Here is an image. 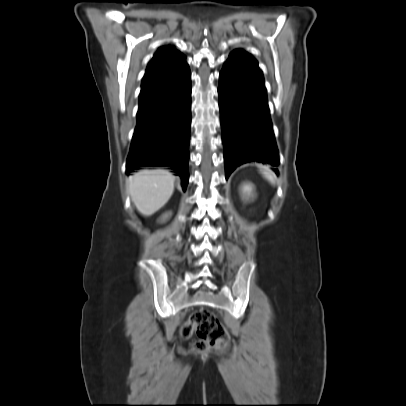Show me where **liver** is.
Listing matches in <instances>:
<instances>
[{"mask_svg": "<svg viewBox=\"0 0 406 406\" xmlns=\"http://www.w3.org/2000/svg\"><path fill=\"white\" fill-rule=\"evenodd\" d=\"M175 176L168 170H141L128 179V191L137 210L151 216L162 208L174 192Z\"/></svg>", "mask_w": 406, "mask_h": 406, "instance_id": "obj_1", "label": "liver"}]
</instances>
